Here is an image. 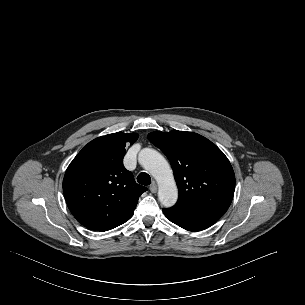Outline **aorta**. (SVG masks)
<instances>
[{"instance_id":"obj_1","label":"aorta","mask_w":305,"mask_h":305,"mask_svg":"<svg viewBox=\"0 0 305 305\" xmlns=\"http://www.w3.org/2000/svg\"><path fill=\"white\" fill-rule=\"evenodd\" d=\"M138 160L157 180L158 198L161 204L164 207H172L178 199V189L166 159L156 150L144 148L140 151Z\"/></svg>"}]
</instances>
